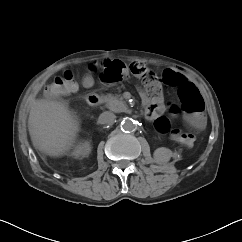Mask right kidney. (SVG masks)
Instances as JSON below:
<instances>
[{
  "label": "right kidney",
  "instance_id": "obj_1",
  "mask_svg": "<svg viewBox=\"0 0 242 242\" xmlns=\"http://www.w3.org/2000/svg\"><path fill=\"white\" fill-rule=\"evenodd\" d=\"M91 148V143L89 141L80 142L74 147L72 155L75 158L86 157L90 154Z\"/></svg>",
  "mask_w": 242,
  "mask_h": 242
}]
</instances>
